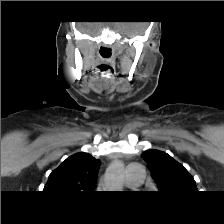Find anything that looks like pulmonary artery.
<instances>
[{
	"label": "pulmonary artery",
	"mask_w": 224,
	"mask_h": 224,
	"mask_svg": "<svg viewBox=\"0 0 224 224\" xmlns=\"http://www.w3.org/2000/svg\"><path fill=\"white\" fill-rule=\"evenodd\" d=\"M144 181V173L141 168L136 165H130L126 172V185L140 186Z\"/></svg>",
	"instance_id": "pulmonary-artery-1"
}]
</instances>
